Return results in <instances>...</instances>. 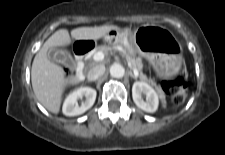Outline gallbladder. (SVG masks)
Segmentation results:
<instances>
[{"mask_svg": "<svg viewBox=\"0 0 225 155\" xmlns=\"http://www.w3.org/2000/svg\"><path fill=\"white\" fill-rule=\"evenodd\" d=\"M47 56L54 63L63 64L69 68H75V61L71 54L60 48H49Z\"/></svg>", "mask_w": 225, "mask_h": 155, "instance_id": "bac80fb5", "label": "gallbladder"}]
</instances>
